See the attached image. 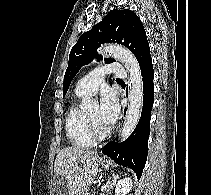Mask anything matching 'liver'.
I'll use <instances>...</instances> for the list:
<instances>
[{
  "instance_id": "obj_1",
  "label": "liver",
  "mask_w": 211,
  "mask_h": 195,
  "mask_svg": "<svg viewBox=\"0 0 211 195\" xmlns=\"http://www.w3.org/2000/svg\"><path fill=\"white\" fill-rule=\"evenodd\" d=\"M96 151L76 147H65L58 153L54 163L56 177L64 179L68 186L67 195H81L93 183L97 174ZM65 191H56V195H65Z\"/></svg>"
}]
</instances>
